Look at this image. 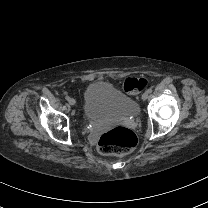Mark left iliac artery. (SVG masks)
<instances>
[{"label":"left iliac artery","instance_id":"44dca946","mask_svg":"<svg viewBox=\"0 0 208 208\" xmlns=\"http://www.w3.org/2000/svg\"><path fill=\"white\" fill-rule=\"evenodd\" d=\"M147 93H152V89L151 88H149L148 90H147Z\"/></svg>","mask_w":208,"mask_h":208}]
</instances>
